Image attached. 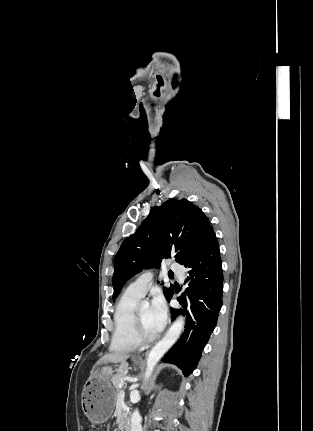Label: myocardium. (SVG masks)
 Masks as SVG:
<instances>
[{
	"instance_id": "obj_1",
	"label": "myocardium",
	"mask_w": 313,
	"mask_h": 431,
	"mask_svg": "<svg viewBox=\"0 0 313 431\" xmlns=\"http://www.w3.org/2000/svg\"><path fill=\"white\" fill-rule=\"evenodd\" d=\"M133 336L139 345L150 343L158 337L157 332L152 334V335L145 334V332L143 330L142 319H141V314H140V306L136 307V309L134 311Z\"/></svg>"
}]
</instances>
